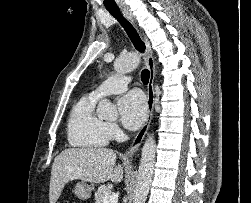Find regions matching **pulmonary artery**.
Segmentation results:
<instances>
[{"mask_svg": "<svg viewBox=\"0 0 251 203\" xmlns=\"http://www.w3.org/2000/svg\"><path fill=\"white\" fill-rule=\"evenodd\" d=\"M130 77L122 74H117L103 81L90 94L96 98L115 93H121L128 88Z\"/></svg>", "mask_w": 251, "mask_h": 203, "instance_id": "1", "label": "pulmonary artery"}]
</instances>
